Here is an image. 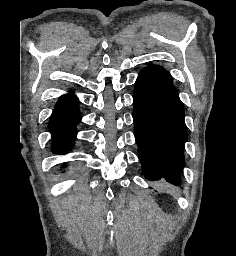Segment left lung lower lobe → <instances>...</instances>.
Wrapping results in <instances>:
<instances>
[{
    "mask_svg": "<svg viewBox=\"0 0 236 256\" xmlns=\"http://www.w3.org/2000/svg\"><path fill=\"white\" fill-rule=\"evenodd\" d=\"M133 120L145 178L180 186L187 132L184 109L172 80L144 68L135 83Z\"/></svg>",
    "mask_w": 236,
    "mask_h": 256,
    "instance_id": "obj_1",
    "label": "left lung lower lobe"
}]
</instances>
